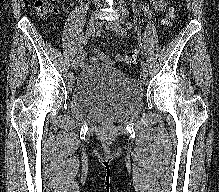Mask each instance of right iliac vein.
Instances as JSON below:
<instances>
[{"label":"right iliac vein","mask_w":219,"mask_h":192,"mask_svg":"<svg viewBox=\"0 0 219 192\" xmlns=\"http://www.w3.org/2000/svg\"><path fill=\"white\" fill-rule=\"evenodd\" d=\"M98 21V13L97 12H94L92 15H91V18L89 20V28H93L95 26V24L97 23ZM81 58L80 56L76 57L73 61H72V69L76 70L78 68V65H79V62L81 61Z\"/></svg>","instance_id":"63e3f726"}]
</instances>
